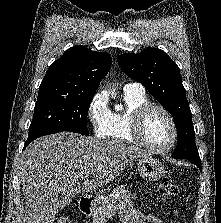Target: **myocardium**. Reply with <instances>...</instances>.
<instances>
[{
  "label": "myocardium",
  "mask_w": 221,
  "mask_h": 223,
  "mask_svg": "<svg viewBox=\"0 0 221 223\" xmlns=\"http://www.w3.org/2000/svg\"><path fill=\"white\" fill-rule=\"evenodd\" d=\"M153 110H159L162 113H164L171 124L172 138L170 142L165 146L152 145L143 136L144 122L148 114ZM129 133L132 139L135 142H137L139 145H141L147 150L155 151V152H165V151L170 150L177 143L178 136H179L178 126L172 113L164 106L158 105V104H152V103L146 104L138 108L134 112L132 121L129 127Z\"/></svg>",
  "instance_id": "1"
}]
</instances>
